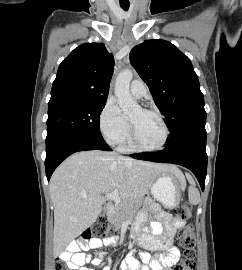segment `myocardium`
I'll list each match as a JSON object with an SVG mask.
<instances>
[{"label":"myocardium","instance_id":"1","mask_svg":"<svg viewBox=\"0 0 242 270\" xmlns=\"http://www.w3.org/2000/svg\"><path fill=\"white\" fill-rule=\"evenodd\" d=\"M141 110L143 112L150 113L158 117L163 127V132H164L163 139L161 143L158 144L157 146H153V147L143 146L142 144L139 143L138 138H137L136 128L133 122L130 120V140H131L133 149L141 151V152H156V151H160L164 149L170 137V130L164 116L162 115L160 111L153 108H141Z\"/></svg>","mask_w":242,"mask_h":270}]
</instances>
